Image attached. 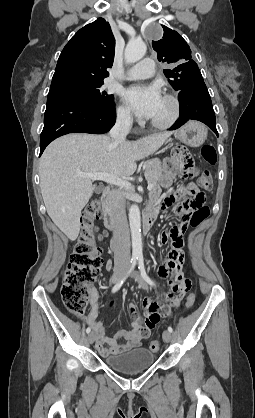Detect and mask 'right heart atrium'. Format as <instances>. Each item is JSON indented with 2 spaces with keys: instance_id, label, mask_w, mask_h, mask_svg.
<instances>
[{
  "instance_id": "obj_1",
  "label": "right heart atrium",
  "mask_w": 255,
  "mask_h": 418,
  "mask_svg": "<svg viewBox=\"0 0 255 418\" xmlns=\"http://www.w3.org/2000/svg\"><path fill=\"white\" fill-rule=\"evenodd\" d=\"M117 120L124 125H130L133 117L129 108L123 104H120L117 108Z\"/></svg>"
}]
</instances>
